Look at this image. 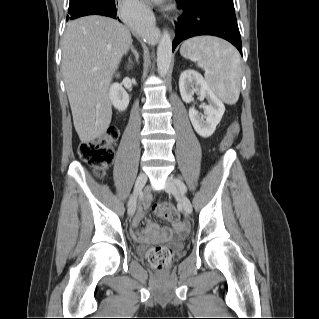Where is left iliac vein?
Returning <instances> with one entry per match:
<instances>
[{
  "label": "left iliac vein",
  "mask_w": 319,
  "mask_h": 319,
  "mask_svg": "<svg viewBox=\"0 0 319 319\" xmlns=\"http://www.w3.org/2000/svg\"><path fill=\"white\" fill-rule=\"evenodd\" d=\"M165 190L174 195L175 197L178 198L179 202L181 203L185 213L191 214L192 213V204L189 200V198L183 194L182 192L179 191L176 183L172 178H167L166 180V185H165Z\"/></svg>",
  "instance_id": "obj_1"
}]
</instances>
